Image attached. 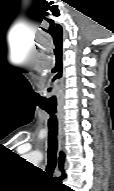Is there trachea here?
<instances>
[{"label":"trachea","mask_w":114,"mask_h":191,"mask_svg":"<svg viewBox=\"0 0 114 191\" xmlns=\"http://www.w3.org/2000/svg\"><path fill=\"white\" fill-rule=\"evenodd\" d=\"M49 115L50 118L48 120L49 127V140H48V164L47 171L49 174H52L57 163V134H58V121L55 115L56 109L53 108H43Z\"/></svg>","instance_id":"obj_1"}]
</instances>
